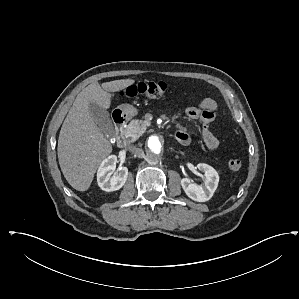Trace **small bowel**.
Returning a JSON list of instances; mask_svg holds the SVG:
<instances>
[{"label":"small bowel","mask_w":299,"mask_h":299,"mask_svg":"<svg viewBox=\"0 0 299 299\" xmlns=\"http://www.w3.org/2000/svg\"><path fill=\"white\" fill-rule=\"evenodd\" d=\"M217 107L215 100L205 98L197 106H189L185 109L187 117L201 121L203 125L202 138L210 151H215L219 146L218 139L210 129L216 116ZM176 138L183 145L190 143V136L182 126H179L176 131Z\"/></svg>","instance_id":"obj_1"}]
</instances>
